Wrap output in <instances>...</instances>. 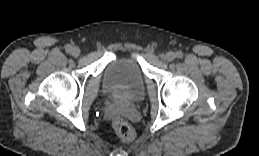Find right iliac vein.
<instances>
[{"label": "right iliac vein", "mask_w": 259, "mask_h": 156, "mask_svg": "<svg viewBox=\"0 0 259 156\" xmlns=\"http://www.w3.org/2000/svg\"><path fill=\"white\" fill-rule=\"evenodd\" d=\"M71 55L74 57H78L80 55V49L78 47H73L71 49Z\"/></svg>", "instance_id": "63e3f726"}]
</instances>
